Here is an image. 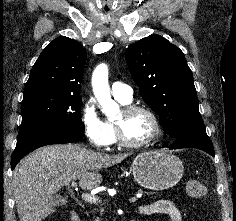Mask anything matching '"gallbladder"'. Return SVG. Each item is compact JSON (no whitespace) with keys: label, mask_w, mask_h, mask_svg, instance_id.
Masks as SVG:
<instances>
[{"label":"gallbladder","mask_w":236,"mask_h":221,"mask_svg":"<svg viewBox=\"0 0 236 221\" xmlns=\"http://www.w3.org/2000/svg\"><path fill=\"white\" fill-rule=\"evenodd\" d=\"M51 204L53 206H61L64 204V198L57 195V196H53L52 200H51Z\"/></svg>","instance_id":"gallbladder-1"}]
</instances>
